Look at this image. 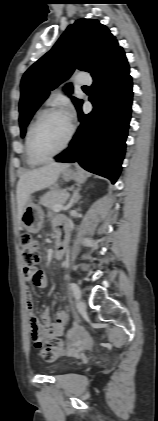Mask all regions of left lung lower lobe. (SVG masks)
Instances as JSON below:
<instances>
[{"mask_svg":"<svg viewBox=\"0 0 158 421\" xmlns=\"http://www.w3.org/2000/svg\"><path fill=\"white\" fill-rule=\"evenodd\" d=\"M122 47L92 75L94 109L83 114L78 109L80 126L69 148L55 157L57 162H78L89 172L115 183L125 153L131 118L132 79Z\"/></svg>","mask_w":158,"mask_h":421,"instance_id":"left-lung-lower-lobe-1","label":"left lung lower lobe"}]
</instances>
